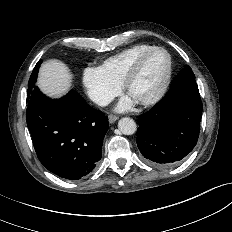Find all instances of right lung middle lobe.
<instances>
[{"label":"right lung middle lobe","mask_w":232,"mask_h":232,"mask_svg":"<svg viewBox=\"0 0 232 232\" xmlns=\"http://www.w3.org/2000/svg\"><path fill=\"white\" fill-rule=\"evenodd\" d=\"M42 60H40L36 66L34 67V70L30 76V79H29V82H28V90H27V95H28V98L29 96L32 94V92L37 89L38 87L35 86V83H36V80H37V75H38V69L40 67V64H41Z\"/></svg>","instance_id":"obj_1"}]
</instances>
